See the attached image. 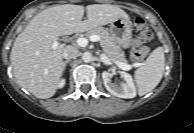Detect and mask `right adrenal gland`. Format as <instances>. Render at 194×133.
<instances>
[{"mask_svg":"<svg viewBox=\"0 0 194 133\" xmlns=\"http://www.w3.org/2000/svg\"><path fill=\"white\" fill-rule=\"evenodd\" d=\"M69 63V60H66L64 63H63V68H64V70H65V68H66V65Z\"/></svg>","mask_w":194,"mask_h":133,"instance_id":"obj_1","label":"right adrenal gland"}]
</instances>
